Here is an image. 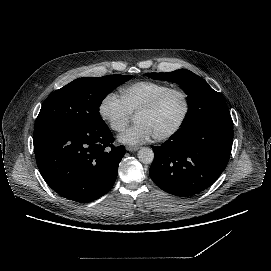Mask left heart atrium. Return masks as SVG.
Segmentation results:
<instances>
[{
    "label": "left heart atrium",
    "instance_id": "1",
    "mask_svg": "<svg viewBox=\"0 0 271 271\" xmlns=\"http://www.w3.org/2000/svg\"><path fill=\"white\" fill-rule=\"evenodd\" d=\"M155 138L151 129L145 123H136L124 134L120 135L118 141L126 145H141Z\"/></svg>",
    "mask_w": 271,
    "mask_h": 271
}]
</instances>
